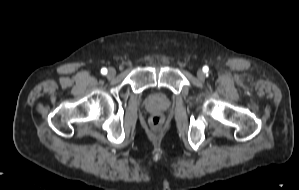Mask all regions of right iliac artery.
Listing matches in <instances>:
<instances>
[{
	"label": "right iliac artery",
	"mask_w": 299,
	"mask_h": 190,
	"mask_svg": "<svg viewBox=\"0 0 299 190\" xmlns=\"http://www.w3.org/2000/svg\"><path fill=\"white\" fill-rule=\"evenodd\" d=\"M101 73H102L103 75L107 74V69H106V68H102V69H101Z\"/></svg>",
	"instance_id": "right-iliac-artery-1"
}]
</instances>
